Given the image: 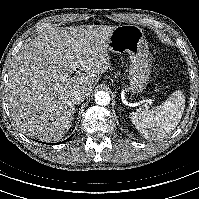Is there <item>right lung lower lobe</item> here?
Returning a JSON list of instances; mask_svg holds the SVG:
<instances>
[{
	"mask_svg": "<svg viewBox=\"0 0 199 199\" xmlns=\"http://www.w3.org/2000/svg\"><path fill=\"white\" fill-rule=\"evenodd\" d=\"M69 139H70V138L66 139L65 141H68ZM65 141H63V142H65ZM63 142H62V143H63Z\"/></svg>",
	"mask_w": 199,
	"mask_h": 199,
	"instance_id": "right-lung-lower-lobe-1",
	"label": "right lung lower lobe"
}]
</instances>
